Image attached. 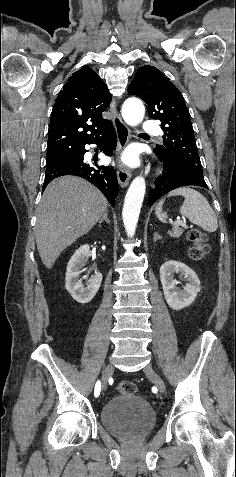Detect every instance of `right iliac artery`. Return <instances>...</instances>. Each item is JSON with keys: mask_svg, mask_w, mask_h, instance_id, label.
I'll return each mask as SVG.
<instances>
[{"mask_svg": "<svg viewBox=\"0 0 236 477\" xmlns=\"http://www.w3.org/2000/svg\"><path fill=\"white\" fill-rule=\"evenodd\" d=\"M101 382L97 381L95 384L94 395L96 399L100 398V391H101Z\"/></svg>", "mask_w": 236, "mask_h": 477, "instance_id": "right-iliac-artery-1", "label": "right iliac artery"}]
</instances>
